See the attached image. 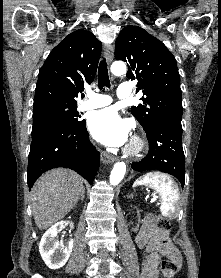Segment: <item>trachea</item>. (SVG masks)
I'll return each mask as SVG.
<instances>
[{"mask_svg": "<svg viewBox=\"0 0 221 278\" xmlns=\"http://www.w3.org/2000/svg\"><path fill=\"white\" fill-rule=\"evenodd\" d=\"M98 86L99 89H102L103 87H108L110 88V80H109V75H108V68H107V63L105 59L101 60L99 64V69H98Z\"/></svg>", "mask_w": 221, "mask_h": 278, "instance_id": "3493384b", "label": "trachea"}]
</instances>
